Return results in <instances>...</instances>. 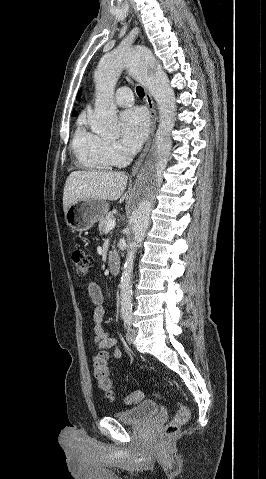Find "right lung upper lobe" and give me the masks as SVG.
<instances>
[{"label": "right lung upper lobe", "mask_w": 266, "mask_h": 479, "mask_svg": "<svg viewBox=\"0 0 266 479\" xmlns=\"http://www.w3.org/2000/svg\"><path fill=\"white\" fill-rule=\"evenodd\" d=\"M79 95H80V91H79V93H78V95H77V99L79 98ZM73 115L76 116V115H77V112L74 111Z\"/></svg>", "instance_id": "cb5924a9"}]
</instances>
